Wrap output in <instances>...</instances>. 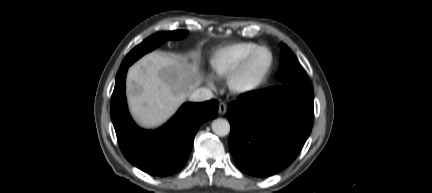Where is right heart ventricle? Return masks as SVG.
<instances>
[{
	"mask_svg": "<svg viewBox=\"0 0 432 193\" xmlns=\"http://www.w3.org/2000/svg\"><path fill=\"white\" fill-rule=\"evenodd\" d=\"M258 46L245 41L217 48L209 58L211 72L217 77L227 76Z\"/></svg>",
	"mask_w": 432,
	"mask_h": 193,
	"instance_id": "right-heart-ventricle-1",
	"label": "right heart ventricle"
}]
</instances>
